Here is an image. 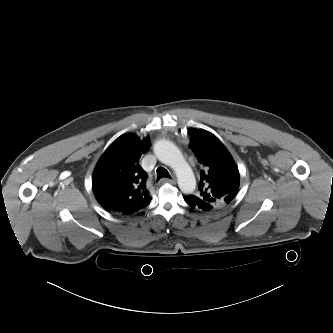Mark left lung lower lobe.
<instances>
[{"label":"left lung lower lobe","instance_id":"obj_1","mask_svg":"<svg viewBox=\"0 0 333 333\" xmlns=\"http://www.w3.org/2000/svg\"><path fill=\"white\" fill-rule=\"evenodd\" d=\"M183 197L185 202L192 208L200 209L202 211H211L214 209L210 203L200 200L196 196L191 195Z\"/></svg>","mask_w":333,"mask_h":333}]
</instances>
